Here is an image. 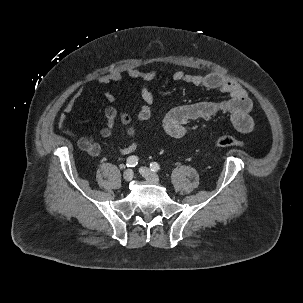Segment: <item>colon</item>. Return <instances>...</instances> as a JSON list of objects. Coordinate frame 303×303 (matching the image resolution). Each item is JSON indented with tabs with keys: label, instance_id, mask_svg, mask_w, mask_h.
<instances>
[{
	"label": "colon",
	"instance_id": "obj_1",
	"mask_svg": "<svg viewBox=\"0 0 303 303\" xmlns=\"http://www.w3.org/2000/svg\"><path fill=\"white\" fill-rule=\"evenodd\" d=\"M217 146L220 147H243L244 143L237 138L230 135H221L215 141Z\"/></svg>",
	"mask_w": 303,
	"mask_h": 303
}]
</instances>
